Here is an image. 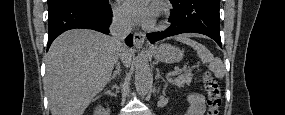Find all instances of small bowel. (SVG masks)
I'll return each mask as SVG.
<instances>
[{
  "mask_svg": "<svg viewBox=\"0 0 285 115\" xmlns=\"http://www.w3.org/2000/svg\"><path fill=\"white\" fill-rule=\"evenodd\" d=\"M187 115H203L205 112L204 98L200 94L192 93L187 97Z\"/></svg>",
  "mask_w": 285,
  "mask_h": 115,
  "instance_id": "1",
  "label": "small bowel"
}]
</instances>
